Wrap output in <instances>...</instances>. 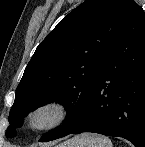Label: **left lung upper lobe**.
<instances>
[{
	"instance_id": "obj_1",
	"label": "left lung upper lobe",
	"mask_w": 145,
	"mask_h": 147,
	"mask_svg": "<svg viewBox=\"0 0 145 147\" xmlns=\"http://www.w3.org/2000/svg\"><path fill=\"white\" fill-rule=\"evenodd\" d=\"M131 0H85L39 44L17 86L6 137L32 110L50 102L64 105L63 125L46 141L77 126L117 39Z\"/></svg>"
}]
</instances>
